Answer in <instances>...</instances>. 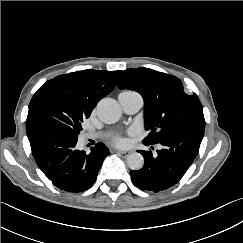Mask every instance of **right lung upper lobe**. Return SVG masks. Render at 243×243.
<instances>
[{"label":"right lung upper lobe","mask_w":243,"mask_h":243,"mask_svg":"<svg viewBox=\"0 0 243 243\" xmlns=\"http://www.w3.org/2000/svg\"><path fill=\"white\" fill-rule=\"evenodd\" d=\"M122 71L84 70L57 76L35 93L54 91L82 112L91 114L96 104L116 86Z\"/></svg>","instance_id":"1"}]
</instances>
